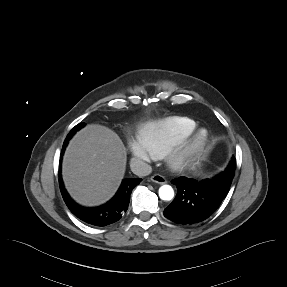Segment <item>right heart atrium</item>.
<instances>
[{
  "instance_id": "obj_1",
  "label": "right heart atrium",
  "mask_w": 287,
  "mask_h": 287,
  "mask_svg": "<svg viewBox=\"0 0 287 287\" xmlns=\"http://www.w3.org/2000/svg\"><path fill=\"white\" fill-rule=\"evenodd\" d=\"M130 149L134 158L141 161H150L155 158V154L148 142L143 136H137L130 144Z\"/></svg>"
}]
</instances>
